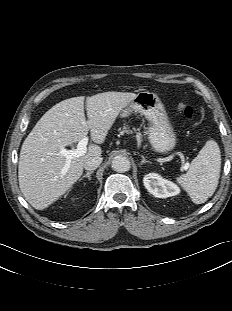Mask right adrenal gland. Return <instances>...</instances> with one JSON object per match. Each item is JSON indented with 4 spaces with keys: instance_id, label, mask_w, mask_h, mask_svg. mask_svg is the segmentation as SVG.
<instances>
[{
    "instance_id": "obj_1",
    "label": "right adrenal gland",
    "mask_w": 232,
    "mask_h": 311,
    "mask_svg": "<svg viewBox=\"0 0 232 311\" xmlns=\"http://www.w3.org/2000/svg\"><path fill=\"white\" fill-rule=\"evenodd\" d=\"M94 171H88L85 175H83L79 181L83 180L84 178H88L89 180H91V174H93Z\"/></svg>"
}]
</instances>
